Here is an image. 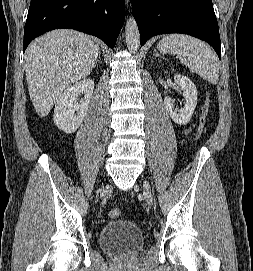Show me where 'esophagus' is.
<instances>
[{"mask_svg": "<svg viewBox=\"0 0 253 271\" xmlns=\"http://www.w3.org/2000/svg\"><path fill=\"white\" fill-rule=\"evenodd\" d=\"M131 0H125L127 7L129 6Z\"/></svg>", "mask_w": 253, "mask_h": 271, "instance_id": "1", "label": "esophagus"}]
</instances>
